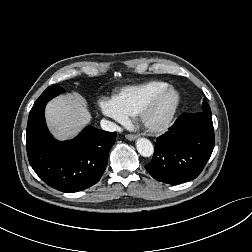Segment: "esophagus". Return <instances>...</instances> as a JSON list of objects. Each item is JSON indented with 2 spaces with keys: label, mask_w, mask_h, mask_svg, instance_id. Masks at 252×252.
I'll return each mask as SVG.
<instances>
[{
  "label": "esophagus",
  "mask_w": 252,
  "mask_h": 252,
  "mask_svg": "<svg viewBox=\"0 0 252 252\" xmlns=\"http://www.w3.org/2000/svg\"><path fill=\"white\" fill-rule=\"evenodd\" d=\"M126 139L129 140V141H134L138 138V135H134V134H127L126 136Z\"/></svg>",
  "instance_id": "34e87169"
}]
</instances>
